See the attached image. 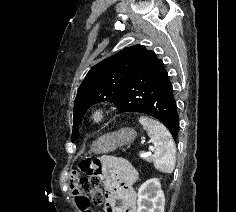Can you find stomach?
<instances>
[{
	"mask_svg": "<svg viewBox=\"0 0 236 212\" xmlns=\"http://www.w3.org/2000/svg\"><path fill=\"white\" fill-rule=\"evenodd\" d=\"M136 136V131L131 128H122L117 132L107 133L93 143L92 151L98 154L112 152L118 147L132 143Z\"/></svg>",
	"mask_w": 236,
	"mask_h": 212,
	"instance_id": "obj_1",
	"label": "stomach"
}]
</instances>
